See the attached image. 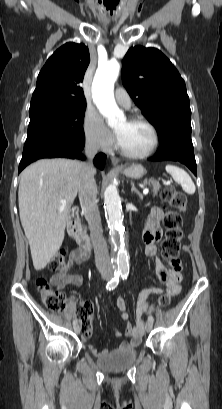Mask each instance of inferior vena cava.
Returning a JSON list of instances; mask_svg holds the SVG:
<instances>
[{"label": "inferior vena cava", "mask_w": 222, "mask_h": 409, "mask_svg": "<svg viewBox=\"0 0 222 409\" xmlns=\"http://www.w3.org/2000/svg\"><path fill=\"white\" fill-rule=\"evenodd\" d=\"M99 144L95 139H87L85 155L88 161L82 163L79 174V200L90 230V237L95 253V262L100 272L112 269L107 243L103 237L100 213L97 205V186L94 179L95 168L91 162L97 154Z\"/></svg>", "instance_id": "602c4592"}]
</instances>
